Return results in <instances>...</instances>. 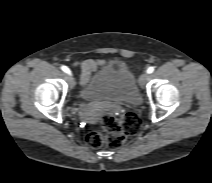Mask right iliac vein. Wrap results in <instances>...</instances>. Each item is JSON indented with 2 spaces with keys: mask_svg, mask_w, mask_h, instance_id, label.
I'll return each mask as SVG.
<instances>
[{
  "mask_svg": "<svg viewBox=\"0 0 212 183\" xmlns=\"http://www.w3.org/2000/svg\"><path fill=\"white\" fill-rule=\"evenodd\" d=\"M69 79H70V84H71V86H74V85H75V80H74V78H73V77H70Z\"/></svg>",
  "mask_w": 212,
  "mask_h": 183,
  "instance_id": "1",
  "label": "right iliac vein"
}]
</instances>
